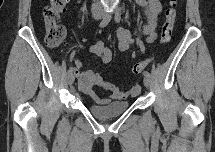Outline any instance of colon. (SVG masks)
Wrapping results in <instances>:
<instances>
[{
  "label": "colon",
  "instance_id": "obj_1",
  "mask_svg": "<svg viewBox=\"0 0 215 152\" xmlns=\"http://www.w3.org/2000/svg\"><path fill=\"white\" fill-rule=\"evenodd\" d=\"M65 0H50L43 10V19L46 26L45 41L49 47H59L65 37V29L59 24V18L64 8ZM177 0H170L169 7L165 12V21L161 28L160 42L166 44L170 41L174 23L177 16ZM147 65L146 61L136 62L132 67V72L141 74Z\"/></svg>",
  "mask_w": 215,
  "mask_h": 152
}]
</instances>
